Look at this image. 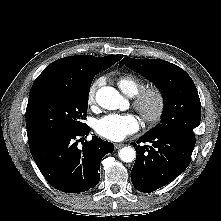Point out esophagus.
I'll return each instance as SVG.
<instances>
[{"mask_svg": "<svg viewBox=\"0 0 221 221\" xmlns=\"http://www.w3.org/2000/svg\"><path fill=\"white\" fill-rule=\"evenodd\" d=\"M123 146H124L123 143H115V144H114L115 149H119V148H121V147H123Z\"/></svg>", "mask_w": 221, "mask_h": 221, "instance_id": "esophagus-1", "label": "esophagus"}]
</instances>
